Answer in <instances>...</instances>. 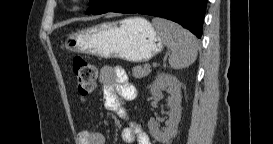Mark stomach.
<instances>
[{
  "label": "stomach",
  "instance_id": "stomach-1",
  "mask_svg": "<svg viewBox=\"0 0 273 144\" xmlns=\"http://www.w3.org/2000/svg\"><path fill=\"white\" fill-rule=\"evenodd\" d=\"M163 45L159 33L142 17L94 25L68 35L64 42L71 52L134 63L150 60L162 51Z\"/></svg>",
  "mask_w": 273,
  "mask_h": 144
}]
</instances>
